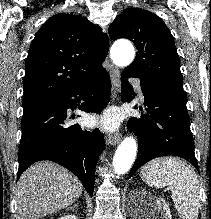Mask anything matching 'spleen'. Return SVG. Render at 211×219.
I'll return each instance as SVG.
<instances>
[{"label":"spleen","instance_id":"3e777b00","mask_svg":"<svg viewBox=\"0 0 211 219\" xmlns=\"http://www.w3.org/2000/svg\"><path fill=\"white\" fill-rule=\"evenodd\" d=\"M141 179L151 187H167L181 219H197L199 180L188 164L175 157L157 158L141 168Z\"/></svg>","mask_w":211,"mask_h":219}]
</instances>
